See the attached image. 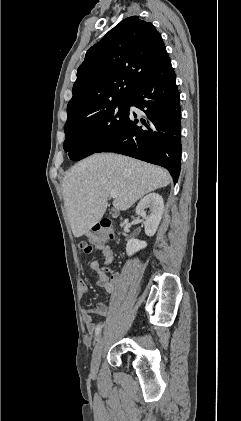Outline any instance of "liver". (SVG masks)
<instances>
[{"mask_svg":"<svg viewBox=\"0 0 241 421\" xmlns=\"http://www.w3.org/2000/svg\"><path fill=\"white\" fill-rule=\"evenodd\" d=\"M171 177L163 168L114 153L93 154L65 175L64 205L73 235L87 234L104 215L108 196L117 192L113 206L127 210L145 194L167 186Z\"/></svg>","mask_w":241,"mask_h":421,"instance_id":"liver-1","label":"liver"}]
</instances>
